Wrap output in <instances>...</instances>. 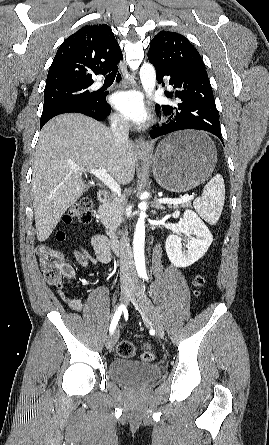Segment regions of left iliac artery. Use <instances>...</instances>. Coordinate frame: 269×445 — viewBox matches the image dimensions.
<instances>
[{"label":"left iliac artery","instance_id":"1","mask_svg":"<svg viewBox=\"0 0 269 445\" xmlns=\"http://www.w3.org/2000/svg\"><path fill=\"white\" fill-rule=\"evenodd\" d=\"M145 279L148 281V278H147V277H145Z\"/></svg>","mask_w":269,"mask_h":445}]
</instances>
